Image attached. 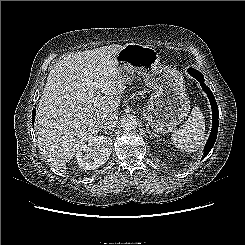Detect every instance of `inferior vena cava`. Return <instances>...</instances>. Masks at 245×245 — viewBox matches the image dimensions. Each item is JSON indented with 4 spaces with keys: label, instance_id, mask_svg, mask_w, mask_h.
I'll list each match as a JSON object with an SVG mask.
<instances>
[{
    "label": "inferior vena cava",
    "instance_id": "obj_1",
    "mask_svg": "<svg viewBox=\"0 0 245 245\" xmlns=\"http://www.w3.org/2000/svg\"><path fill=\"white\" fill-rule=\"evenodd\" d=\"M118 122V118L116 115H108L102 118L100 128L113 130Z\"/></svg>",
    "mask_w": 245,
    "mask_h": 245
}]
</instances>
